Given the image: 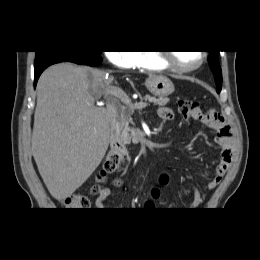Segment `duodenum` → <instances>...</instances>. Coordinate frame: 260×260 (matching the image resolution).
<instances>
[{
    "label": "duodenum",
    "mask_w": 260,
    "mask_h": 260,
    "mask_svg": "<svg viewBox=\"0 0 260 260\" xmlns=\"http://www.w3.org/2000/svg\"><path fill=\"white\" fill-rule=\"evenodd\" d=\"M108 119L110 123V148L113 153L127 156L128 150L121 142L116 129V114L113 108H108Z\"/></svg>",
    "instance_id": "duodenum-1"
}]
</instances>
